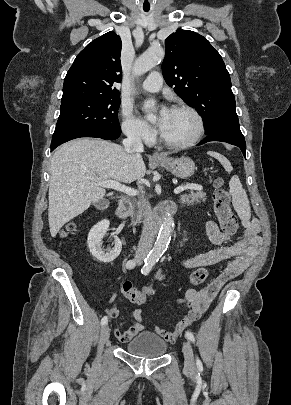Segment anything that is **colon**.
Returning a JSON list of instances; mask_svg holds the SVG:
<instances>
[{"mask_svg":"<svg viewBox=\"0 0 291 405\" xmlns=\"http://www.w3.org/2000/svg\"><path fill=\"white\" fill-rule=\"evenodd\" d=\"M215 192H214V211L218 218L222 231L228 235H234L238 231V221L230 206V197L227 190L224 188V183L221 178L214 180ZM75 225H69L64 235H67L74 231ZM208 276V272L203 268L194 270L190 275V283L193 285H199L203 283ZM163 274L159 272L155 281L162 280ZM123 294L135 304L144 303L147 298L154 292V284L144 286L143 288H135L130 282H125L122 287Z\"/></svg>","mask_w":291,"mask_h":405,"instance_id":"obj_1","label":"colon"}]
</instances>
